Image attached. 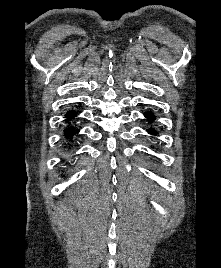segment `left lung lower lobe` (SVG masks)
Masks as SVG:
<instances>
[{
    "label": "left lung lower lobe",
    "instance_id": "left-lung-lower-lobe-1",
    "mask_svg": "<svg viewBox=\"0 0 221 268\" xmlns=\"http://www.w3.org/2000/svg\"><path fill=\"white\" fill-rule=\"evenodd\" d=\"M145 117L148 119V120H154L155 119V116L153 115V113L151 112H146L145 114ZM148 132L150 134H153L155 135L157 132L155 130H153L152 128L148 130Z\"/></svg>",
    "mask_w": 221,
    "mask_h": 268
}]
</instances>
